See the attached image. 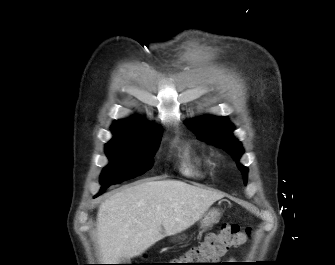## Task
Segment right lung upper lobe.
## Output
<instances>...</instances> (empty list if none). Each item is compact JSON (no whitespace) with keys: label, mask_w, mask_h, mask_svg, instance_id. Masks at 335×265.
<instances>
[{"label":"right lung upper lobe","mask_w":335,"mask_h":265,"mask_svg":"<svg viewBox=\"0 0 335 265\" xmlns=\"http://www.w3.org/2000/svg\"><path fill=\"white\" fill-rule=\"evenodd\" d=\"M131 129L132 130H146V129L157 130L158 128L154 124L149 123L139 117H132L129 119L119 120V121H116L112 125L113 132H118L121 130H131Z\"/></svg>","instance_id":"1"}]
</instances>
